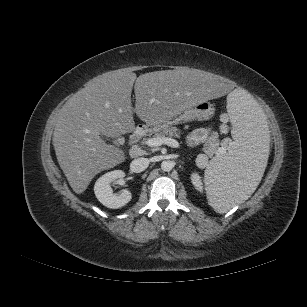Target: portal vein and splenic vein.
Listing matches in <instances>:
<instances>
[{"mask_svg": "<svg viewBox=\"0 0 307 307\" xmlns=\"http://www.w3.org/2000/svg\"><path fill=\"white\" fill-rule=\"evenodd\" d=\"M167 145L170 146L172 148H178L179 147V143L177 140L170 138V137H155V138H151L147 141V145L150 147H158L161 145ZM220 153L222 151H219Z\"/></svg>", "mask_w": 307, "mask_h": 307, "instance_id": "obj_1", "label": "portal vein and splenic vein"}]
</instances>
